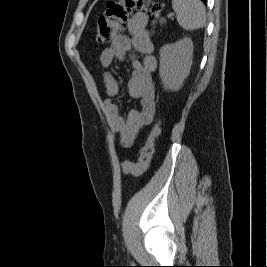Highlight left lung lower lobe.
I'll use <instances>...</instances> for the list:
<instances>
[{
	"mask_svg": "<svg viewBox=\"0 0 267 267\" xmlns=\"http://www.w3.org/2000/svg\"><path fill=\"white\" fill-rule=\"evenodd\" d=\"M204 3L206 2V0H202Z\"/></svg>",
	"mask_w": 267,
	"mask_h": 267,
	"instance_id": "left-lung-lower-lobe-1",
	"label": "left lung lower lobe"
}]
</instances>
